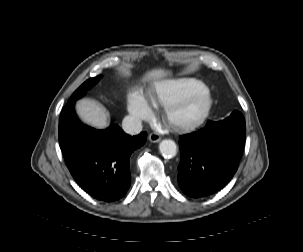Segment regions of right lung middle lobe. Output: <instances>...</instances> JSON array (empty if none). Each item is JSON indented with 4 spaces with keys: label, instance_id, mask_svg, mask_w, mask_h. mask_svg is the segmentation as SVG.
<instances>
[{
    "label": "right lung middle lobe",
    "instance_id": "dd1d6c3e",
    "mask_svg": "<svg viewBox=\"0 0 303 252\" xmlns=\"http://www.w3.org/2000/svg\"><path fill=\"white\" fill-rule=\"evenodd\" d=\"M100 79V76H97L95 78H91L89 80H87L86 82H84L71 96V98L69 100H77L79 98H81L86 90H88L89 88H91L93 85H95Z\"/></svg>",
    "mask_w": 303,
    "mask_h": 252
}]
</instances>
